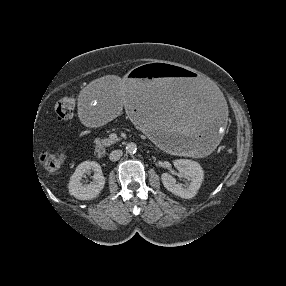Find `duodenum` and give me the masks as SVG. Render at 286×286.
I'll list each match as a JSON object with an SVG mask.
<instances>
[{
    "label": "duodenum",
    "mask_w": 286,
    "mask_h": 286,
    "mask_svg": "<svg viewBox=\"0 0 286 286\" xmlns=\"http://www.w3.org/2000/svg\"><path fill=\"white\" fill-rule=\"evenodd\" d=\"M95 154L98 158H102L105 154V151L103 148H97Z\"/></svg>",
    "instance_id": "obj_1"
}]
</instances>
